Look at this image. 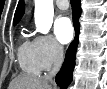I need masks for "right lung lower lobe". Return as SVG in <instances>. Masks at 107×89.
I'll use <instances>...</instances> for the list:
<instances>
[{
    "mask_svg": "<svg viewBox=\"0 0 107 89\" xmlns=\"http://www.w3.org/2000/svg\"><path fill=\"white\" fill-rule=\"evenodd\" d=\"M71 5H72L73 24L76 31V37L74 41L70 44L66 52L63 66L55 78L56 83L61 87V89H65L72 80V73L75 67L76 48L78 44V34L80 27L79 17L81 14L80 0H71Z\"/></svg>",
    "mask_w": 107,
    "mask_h": 89,
    "instance_id": "right-lung-lower-lobe-1",
    "label": "right lung lower lobe"
}]
</instances>
